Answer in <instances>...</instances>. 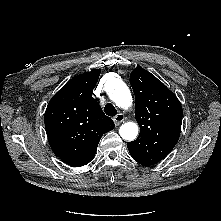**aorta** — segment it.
<instances>
[{"instance_id":"obj_1","label":"aorta","mask_w":221,"mask_h":221,"mask_svg":"<svg viewBox=\"0 0 221 221\" xmlns=\"http://www.w3.org/2000/svg\"><path fill=\"white\" fill-rule=\"evenodd\" d=\"M109 98L121 108H128L132 104V95L128 86L119 78H111L105 84ZM120 136L133 141L138 135V126L134 122H126L119 129Z\"/></svg>"}]
</instances>
